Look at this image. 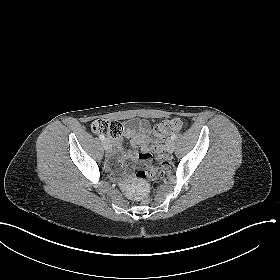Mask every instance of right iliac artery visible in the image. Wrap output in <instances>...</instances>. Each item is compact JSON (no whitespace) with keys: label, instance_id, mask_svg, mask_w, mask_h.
Here are the masks:
<instances>
[{"label":"right iliac artery","instance_id":"82829eb1","mask_svg":"<svg viewBox=\"0 0 280 280\" xmlns=\"http://www.w3.org/2000/svg\"><path fill=\"white\" fill-rule=\"evenodd\" d=\"M99 139L103 141L105 139L104 135H99Z\"/></svg>","mask_w":280,"mask_h":280}]
</instances>
